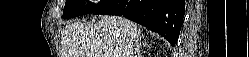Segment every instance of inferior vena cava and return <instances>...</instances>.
Returning <instances> with one entry per match:
<instances>
[{"mask_svg": "<svg viewBox=\"0 0 249 57\" xmlns=\"http://www.w3.org/2000/svg\"><path fill=\"white\" fill-rule=\"evenodd\" d=\"M128 57H131L132 55H127Z\"/></svg>", "mask_w": 249, "mask_h": 57, "instance_id": "obj_1", "label": "inferior vena cava"}]
</instances>
